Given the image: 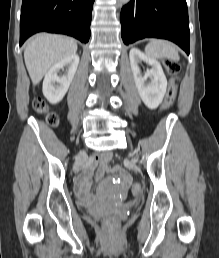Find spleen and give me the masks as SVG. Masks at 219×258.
<instances>
[{"label":"spleen","mask_w":219,"mask_h":258,"mask_svg":"<svg viewBox=\"0 0 219 258\" xmlns=\"http://www.w3.org/2000/svg\"><path fill=\"white\" fill-rule=\"evenodd\" d=\"M145 53L147 56L155 59L168 58L174 61L179 60L176 47L164 40H151L145 47Z\"/></svg>","instance_id":"obj_1"}]
</instances>
